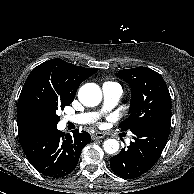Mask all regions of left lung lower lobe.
Here are the masks:
<instances>
[{
    "mask_svg": "<svg viewBox=\"0 0 194 194\" xmlns=\"http://www.w3.org/2000/svg\"><path fill=\"white\" fill-rule=\"evenodd\" d=\"M170 124L140 125L131 129L134 141L110 159L113 172L126 179L146 173L159 159L169 136Z\"/></svg>",
    "mask_w": 194,
    "mask_h": 194,
    "instance_id": "0a47b994",
    "label": "left lung lower lobe"
}]
</instances>
